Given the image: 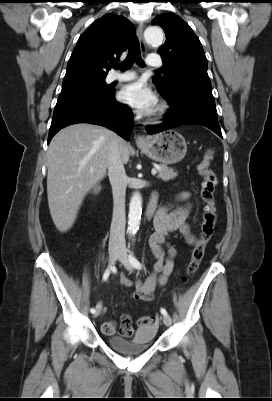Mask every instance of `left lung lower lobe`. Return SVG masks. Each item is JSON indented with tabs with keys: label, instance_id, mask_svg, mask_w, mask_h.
I'll use <instances>...</instances> for the list:
<instances>
[{
	"label": "left lung lower lobe",
	"instance_id": "obj_1",
	"mask_svg": "<svg viewBox=\"0 0 272 401\" xmlns=\"http://www.w3.org/2000/svg\"><path fill=\"white\" fill-rule=\"evenodd\" d=\"M164 98L171 108L165 114L163 124L146 127L149 134H155L183 124H199L208 127L223 138L212 93L179 90Z\"/></svg>",
	"mask_w": 272,
	"mask_h": 401
}]
</instances>
